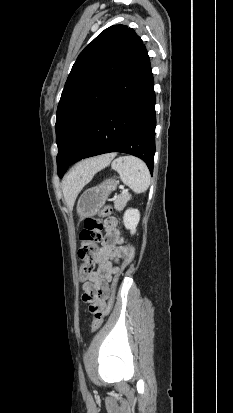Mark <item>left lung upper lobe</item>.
I'll return each mask as SVG.
<instances>
[{
	"label": "left lung upper lobe",
	"instance_id": "1",
	"mask_svg": "<svg viewBox=\"0 0 233 413\" xmlns=\"http://www.w3.org/2000/svg\"><path fill=\"white\" fill-rule=\"evenodd\" d=\"M143 45L124 25L102 31L79 54L65 83L56 117L58 175L76 154L92 120L120 83Z\"/></svg>",
	"mask_w": 233,
	"mask_h": 413
}]
</instances>
